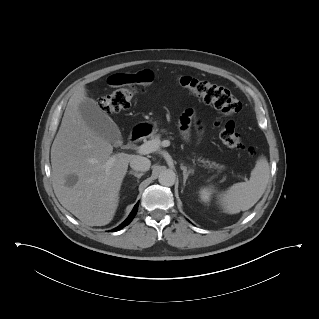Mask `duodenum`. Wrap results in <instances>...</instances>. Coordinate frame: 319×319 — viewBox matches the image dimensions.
<instances>
[{
    "instance_id": "duodenum-1",
    "label": "duodenum",
    "mask_w": 319,
    "mask_h": 319,
    "mask_svg": "<svg viewBox=\"0 0 319 319\" xmlns=\"http://www.w3.org/2000/svg\"><path fill=\"white\" fill-rule=\"evenodd\" d=\"M147 133H148L147 126L137 127L130 134L129 140H130V142H136V141L140 140L141 138H143Z\"/></svg>"
}]
</instances>
